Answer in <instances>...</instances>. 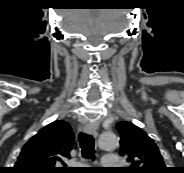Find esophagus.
Here are the masks:
<instances>
[{
    "label": "esophagus",
    "mask_w": 184,
    "mask_h": 173,
    "mask_svg": "<svg viewBox=\"0 0 184 173\" xmlns=\"http://www.w3.org/2000/svg\"><path fill=\"white\" fill-rule=\"evenodd\" d=\"M99 124L97 122H88L83 125L85 133L96 135Z\"/></svg>",
    "instance_id": "1"
}]
</instances>
